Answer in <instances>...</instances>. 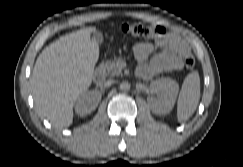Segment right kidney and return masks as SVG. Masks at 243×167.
Returning <instances> with one entry per match:
<instances>
[{
  "label": "right kidney",
  "mask_w": 243,
  "mask_h": 167,
  "mask_svg": "<svg viewBox=\"0 0 243 167\" xmlns=\"http://www.w3.org/2000/svg\"><path fill=\"white\" fill-rule=\"evenodd\" d=\"M100 100L101 94L97 91L83 92L75 103V111L80 116L87 115L95 110Z\"/></svg>",
  "instance_id": "ca27d5eb"
}]
</instances>
